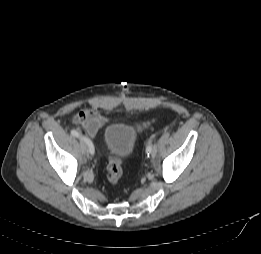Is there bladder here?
Instances as JSON below:
<instances>
[{"label":"bladder","mask_w":261,"mask_h":254,"mask_svg":"<svg viewBox=\"0 0 261 254\" xmlns=\"http://www.w3.org/2000/svg\"><path fill=\"white\" fill-rule=\"evenodd\" d=\"M104 143L107 150L118 158L128 157L136 144V131L123 123L109 125L104 133Z\"/></svg>","instance_id":"1"}]
</instances>
